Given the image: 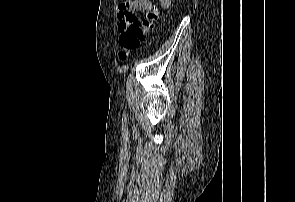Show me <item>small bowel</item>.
Returning a JSON list of instances; mask_svg holds the SVG:
<instances>
[{"instance_id": "1", "label": "small bowel", "mask_w": 295, "mask_h": 202, "mask_svg": "<svg viewBox=\"0 0 295 202\" xmlns=\"http://www.w3.org/2000/svg\"><path fill=\"white\" fill-rule=\"evenodd\" d=\"M161 6L167 9L171 5V0H159ZM152 8L150 0H128L119 4L118 11V31L122 33L130 23H140V19L137 16V12L148 13Z\"/></svg>"}]
</instances>
